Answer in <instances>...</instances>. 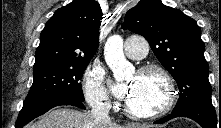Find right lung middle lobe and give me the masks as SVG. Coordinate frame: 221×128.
Instances as JSON below:
<instances>
[{"instance_id": "dd1d6c3e", "label": "right lung middle lobe", "mask_w": 221, "mask_h": 128, "mask_svg": "<svg viewBox=\"0 0 221 128\" xmlns=\"http://www.w3.org/2000/svg\"><path fill=\"white\" fill-rule=\"evenodd\" d=\"M89 62V59H83L34 70L33 84L23 105L54 96H67L83 102L84 95L79 81Z\"/></svg>"}]
</instances>
